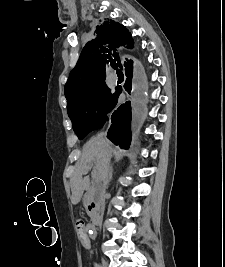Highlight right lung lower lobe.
<instances>
[{
	"label": "right lung lower lobe",
	"instance_id": "right-lung-lower-lobe-1",
	"mask_svg": "<svg viewBox=\"0 0 225 267\" xmlns=\"http://www.w3.org/2000/svg\"><path fill=\"white\" fill-rule=\"evenodd\" d=\"M132 68H133L132 64L130 63H127L125 65L127 79H126L124 88L128 93H130L131 88H132V85H131V79L133 75ZM133 82L135 84L137 83V80L134 78ZM136 89L139 90V87L136 86ZM116 90H117V95L119 97V95L122 92V88L117 87ZM118 97L116 101L114 102L112 109L117 105ZM110 119H111L112 125L108 131L107 137L116 145H119L121 148L127 149L131 142V132H130V125H129L130 120H131L130 103L121 105L117 110L114 111ZM107 120L108 118L105 120L104 124L107 122Z\"/></svg>",
	"mask_w": 225,
	"mask_h": 267
}]
</instances>
